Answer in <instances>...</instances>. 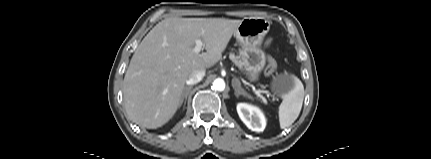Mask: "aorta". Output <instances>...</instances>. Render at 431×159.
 Wrapping results in <instances>:
<instances>
[{
	"label": "aorta",
	"instance_id": "762f6f07",
	"mask_svg": "<svg viewBox=\"0 0 431 159\" xmlns=\"http://www.w3.org/2000/svg\"><path fill=\"white\" fill-rule=\"evenodd\" d=\"M213 87L217 91H224V89H225V82H224V80L221 79V78L215 79L214 82H213Z\"/></svg>",
	"mask_w": 431,
	"mask_h": 159
}]
</instances>
